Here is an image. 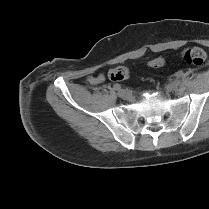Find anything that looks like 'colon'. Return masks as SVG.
Here are the masks:
<instances>
[{
	"instance_id": "obj_1",
	"label": "colon",
	"mask_w": 209,
	"mask_h": 209,
	"mask_svg": "<svg viewBox=\"0 0 209 209\" xmlns=\"http://www.w3.org/2000/svg\"><path fill=\"white\" fill-rule=\"evenodd\" d=\"M181 58L186 63L195 65V66H202L207 59V53L200 47H191L185 49L182 54ZM165 59L161 57L154 58L148 62V65L151 68H160L164 66ZM129 76V70L126 67H116L109 71L108 77L112 81H124Z\"/></svg>"
}]
</instances>
